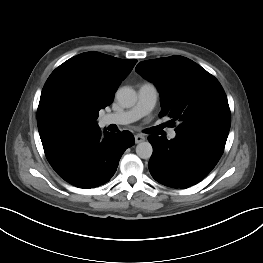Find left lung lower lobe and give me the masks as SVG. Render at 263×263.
<instances>
[{
    "label": "left lung lower lobe",
    "mask_w": 263,
    "mask_h": 263,
    "mask_svg": "<svg viewBox=\"0 0 263 263\" xmlns=\"http://www.w3.org/2000/svg\"><path fill=\"white\" fill-rule=\"evenodd\" d=\"M228 134L176 131V137L150 135L153 154L149 161L152 177L168 187L188 188L204 179L219 161Z\"/></svg>",
    "instance_id": "obj_1"
}]
</instances>
